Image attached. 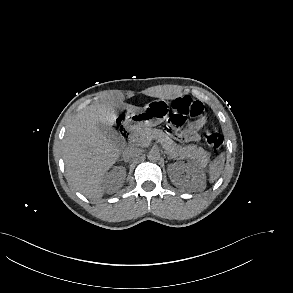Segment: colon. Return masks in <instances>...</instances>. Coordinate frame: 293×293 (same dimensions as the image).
<instances>
[{"label": "colon", "mask_w": 293, "mask_h": 293, "mask_svg": "<svg viewBox=\"0 0 293 293\" xmlns=\"http://www.w3.org/2000/svg\"><path fill=\"white\" fill-rule=\"evenodd\" d=\"M173 114L169 117L166 129L175 134L189 118H196L203 114L204 106L200 101L189 96L178 97L172 102ZM205 140L210 148L217 151L222 146V138L216 131H207Z\"/></svg>", "instance_id": "obj_1"}]
</instances>
